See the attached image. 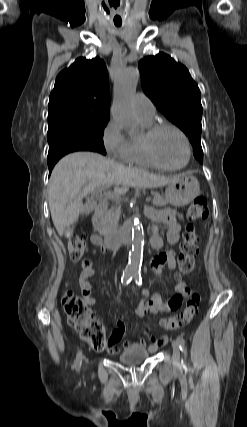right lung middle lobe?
Returning <instances> with one entry per match:
<instances>
[{"label": "right lung middle lobe", "instance_id": "dd1d6c3e", "mask_svg": "<svg viewBox=\"0 0 247 427\" xmlns=\"http://www.w3.org/2000/svg\"><path fill=\"white\" fill-rule=\"evenodd\" d=\"M109 111L63 109L48 114V143L75 141L106 154L103 144L104 128Z\"/></svg>", "mask_w": 247, "mask_h": 427}]
</instances>
